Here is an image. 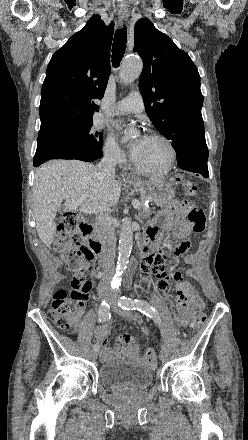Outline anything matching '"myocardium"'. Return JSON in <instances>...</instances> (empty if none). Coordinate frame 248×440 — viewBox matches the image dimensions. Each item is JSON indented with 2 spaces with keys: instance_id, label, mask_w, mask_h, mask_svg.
I'll use <instances>...</instances> for the list:
<instances>
[{
  "instance_id": "obj_1",
  "label": "myocardium",
  "mask_w": 248,
  "mask_h": 440,
  "mask_svg": "<svg viewBox=\"0 0 248 440\" xmlns=\"http://www.w3.org/2000/svg\"><path fill=\"white\" fill-rule=\"evenodd\" d=\"M148 137L157 139V140L161 141L166 146L167 151H168L166 163L163 167H161L159 169H146V168H143V167H140L139 165H137L133 160L132 161L133 168L138 173L148 175V176L164 175L172 169L173 164L175 162V159H176L175 147H174L172 141L161 133L153 132V133L149 134Z\"/></svg>"
}]
</instances>
